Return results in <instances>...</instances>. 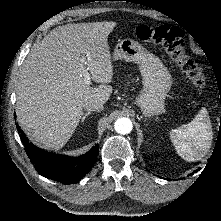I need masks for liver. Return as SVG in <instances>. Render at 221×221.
I'll return each mask as SVG.
<instances>
[{"label":"liver","mask_w":221,"mask_h":221,"mask_svg":"<svg viewBox=\"0 0 221 221\" xmlns=\"http://www.w3.org/2000/svg\"><path fill=\"white\" fill-rule=\"evenodd\" d=\"M115 22L58 26L33 47L19 70L16 115L19 125L48 149L62 148L73 135L89 100L106 103L114 70L108 36ZM101 83H85L83 71Z\"/></svg>","instance_id":"6515ba94"}]
</instances>
